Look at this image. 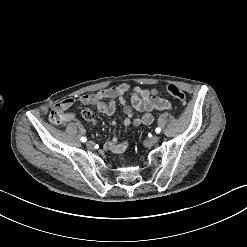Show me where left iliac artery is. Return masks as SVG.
Wrapping results in <instances>:
<instances>
[{"instance_id":"obj_1","label":"left iliac artery","mask_w":247,"mask_h":247,"mask_svg":"<svg viewBox=\"0 0 247 247\" xmlns=\"http://www.w3.org/2000/svg\"><path fill=\"white\" fill-rule=\"evenodd\" d=\"M155 132H156V133H160V132H161V128L157 127V128L155 129Z\"/></svg>"}]
</instances>
